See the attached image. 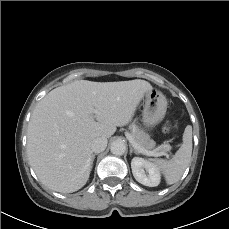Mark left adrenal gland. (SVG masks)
<instances>
[{
    "instance_id": "obj_1",
    "label": "left adrenal gland",
    "mask_w": 229,
    "mask_h": 229,
    "mask_svg": "<svg viewBox=\"0 0 229 229\" xmlns=\"http://www.w3.org/2000/svg\"><path fill=\"white\" fill-rule=\"evenodd\" d=\"M129 147H130V155H131L132 153L139 154L136 150H134V149L132 148L131 145H129Z\"/></svg>"
}]
</instances>
